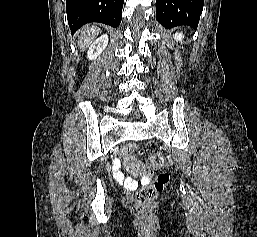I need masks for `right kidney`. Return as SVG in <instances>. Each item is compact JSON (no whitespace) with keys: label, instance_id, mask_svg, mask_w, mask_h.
<instances>
[{"label":"right kidney","instance_id":"ca27d5eb","mask_svg":"<svg viewBox=\"0 0 257 237\" xmlns=\"http://www.w3.org/2000/svg\"><path fill=\"white\" fill-rule=\"evenodd\" d=\"M108 35L104 34L97 38L89 47L87 57L89 60L96 59L108 45Z\"/></svg>","mask_w":257,"mask_h":237}]
</instances>
